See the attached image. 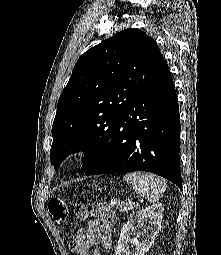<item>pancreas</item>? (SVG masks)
Listing matches in <instances>:
<instances>
[{
    "label": "pancreas",
    "mask_w": 221,
    "mask_h": 255,
    "mask_svg": "<svg viewBox=\"0 0 221 255\" xmlns=\"http://www.w3.org/2000/svg\"><path fill=\"white\" fill-rule=\"evenodd\" d=\"M112 207L117 209L120 213L128 212L132 209L135 208V204L129 203V202H124V201H118L113 199L110 203Z\"/></svg>",
    "instance_id": "1"
}]
</instances>
